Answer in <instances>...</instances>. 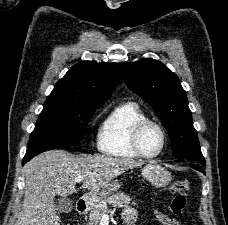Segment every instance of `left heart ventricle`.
Listing matches in <instances>:
<instances>
[{"mask_svg": "<svg viewBox=\"0 0 228 225\" xmlns=\"http://www.w3.org/2000/svg\"><path fill=\"white\" fill-rule=\"evenodd\" d=\"M162 144V137L159 130L153 126L148 127L142 136V146L149 154L157 153Z\"/></svg>", "mask_w": 228, "mask_h": 225, "instance_id": "left-heart-ventricle-1", "label": "left heart ventricle"}]
</instances>
